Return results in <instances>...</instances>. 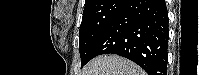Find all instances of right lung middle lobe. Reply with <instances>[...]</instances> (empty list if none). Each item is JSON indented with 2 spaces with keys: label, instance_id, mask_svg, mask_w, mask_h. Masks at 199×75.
Segmentation results:
<instances>
[{
  "label": "right lung middle lobe",
  "instance_id": "dd1d6c3e",
  "mask_svg": "<svg viewBox=\"0 0 199 75\" xmlns=\"http://www.w3.org/2000/svg\"><path fill=\"white\" fill-rule=\"evenodd\" d=\"M126 2L127 0H106L100 6L84 9L79 32L81 68L92 59L94 46Z\"/></svg>",
  "mask_w": 199,
  "mask_h": 75
}]
</instances>
